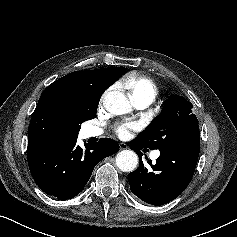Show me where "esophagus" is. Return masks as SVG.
Listing matches in <instances>:
<instances>
[{"instance_id": "1", "label": "esophagus", "mask_w": 237, "mask_h": 237, "mask_svg": "<svg viewBox=\"0 0 237 237\" xmlns=\"http://www.w3.org/2000/svg\"><path fill=\"white\" fill-rule=\"evenodd\" d=\"M119 147H120V150H125L128 148L127 144L126 143H123V142H120L119 143Z\"/></svg>"}]
</instances>
